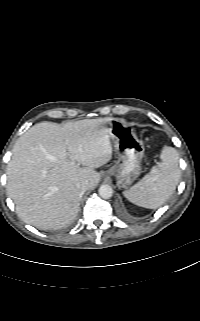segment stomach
Here are the masks:
<instances>
[{
  "label": "stomach",
  "instance_id": "stomach-1",
  "mask_svg": "<svg viewBox=\"0 0 200 321\" xmlns=\"http://www.w3.org/2000/svg\"><path fill=\"white\" fill-rule=\"evenodd\" d=\"M108 130L114 140L118 160L107 175L114 176L119 187L127 188L141 174L144 145L136 136L134 127L119 118L110 119Z\"/></svg>",
  "mask_w": 200,
  "mask_h": 321
}]
</instances>
